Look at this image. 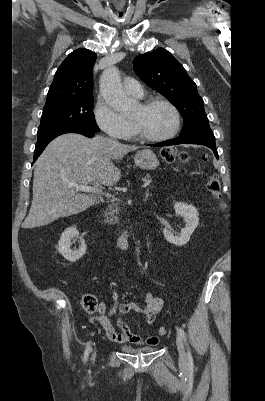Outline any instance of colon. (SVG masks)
I'll return each mask as SVG.
<instances>
[{"instance_id": "5ec220e1", "label": "colon", "mask_w": 265, "mask_h": 401, "mask_svg": "<svg viewBox=\"0 0 265 401\" xmlns=\"http://www.w3.org/2000/svg\"><path fill=\"white\" fill-rule=\"evenodd\" d=\"M161 156L165 161L176 164L185 163L189 159L187 152L173 147L164 148L161 151ZM207 189L213 198L223 206L221 202V184L219 178L215 174L208 177ZM82 306L86 312L94 313L97 309L99 310L100 305L93 295H85L82 299ZM158 333L159 335H165L167 330L166 328L161 327Z\"/></svg>"}]
</instances>
